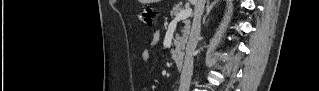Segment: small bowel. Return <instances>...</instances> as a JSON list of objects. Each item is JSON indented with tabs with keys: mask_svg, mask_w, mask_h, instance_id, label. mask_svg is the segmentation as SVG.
<instances>
[{
	"mask_svg": "<svg viewBox=\"0 0 319 91\" xmlns=\"http://www.w3.org/2000/svg\"><path fill=\"white\" fill-rule=\"evenodd\" d=\"M155 40H156V37L154 36V37L152 38V42L155 43ZM150 58H151V53H150V51H149V50L143 51V53H142V55H141V59H142L144 62H147V61L150 60Z\"/></svg>",
	"mask_w": 319,
	"mask_h": 91,
	"instance_id": "obj_1",
	"label": "small bowel"
}]
</instances>
